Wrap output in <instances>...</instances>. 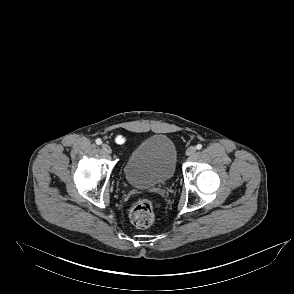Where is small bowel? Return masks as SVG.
Masks as SVG:
<instances>
[{"label":"small bowel","mask_w":294,"mask_h":294,"mask_svg":"<svg viewBox=\"0 0 294 294\" xmlns=\"http://www.w3.org/2000/svg\"><path fill=\"white\" fill-rule=\"evenodd\" d=\"M126 141V138L122 135H117L115 137V142L118 144H123Z\"/></svg>","instance_id":"obj_1"}]
</instances>
